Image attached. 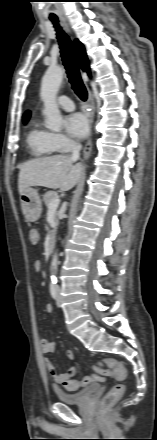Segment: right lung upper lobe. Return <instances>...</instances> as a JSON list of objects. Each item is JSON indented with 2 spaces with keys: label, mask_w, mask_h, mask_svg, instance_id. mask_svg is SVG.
<instances>
[{
  "label": "right lung upper lobe",
  "mask_w": 157,
  "mask_h": 440,
  "mask_svg": "<svg viewBox=\"0 0 157 440\" xmlns=\"http://www.w3.org/2000/svg\"><path fill=\"white\" fill-rule=\"evenodd\" d=\"M74 46H75L76 55H77V58H78V61H79L81 68L83 69V71H87L88 74L90 75L89 62H88V58H87L83 44L76 39L74 41ZM29 116H30V112H26L24 115L25 122L28 120Z\"/></svg>",
  "instance_id": "cb5924a9"
}]
</instances>
